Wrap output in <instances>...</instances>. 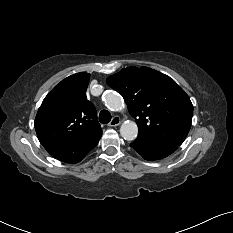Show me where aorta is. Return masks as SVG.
<instances>
[{"mask_svg": "<svg viewBox=\"0 0 233 233\" xmlns=\"http://www.w3.org/2000/svg\"><path fill=\"white\" fill-rule=\"evenodd\" d=\"M105 105L112 111H119L123 108L124 103L122 97L113 91H108L104 95ZM121 136L128 141H133L138 135L137 124L133 121H126L120 127Z\"/></svg>", "mask_w": 233, "mask_h": 233, "instance_id": "762f6f07", "label": "aorta"}]
</instances>
